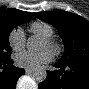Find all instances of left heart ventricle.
<instances>
[{
    "instance_id": "b2bd125f",
    "label": "left heart ventricle",
    "mask_w": 89,
    "mask_h": 89,
    "mask_svg": "<svg viewBox=\"0 0 89 89\" xmlns=\"http://www.w3.org/2000/svg\"><path fill=\"white\" fill-rule=\"evenodd\" d=\"M48 48H49V47H48L47 43L44 41V42L42 43L41 50L48 49Z\"/></svg>"
}]
</instances>
